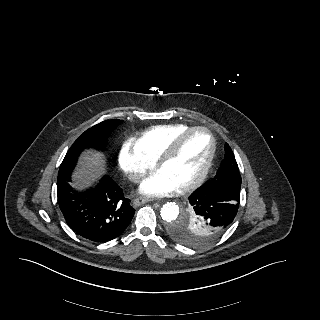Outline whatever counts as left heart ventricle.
<instances>
[{
	"mask_svg": "<svg viewBox=\"0 0 320 320\" xmlns=\"http://www.w3.org/2000/svg\"><path fill=\"white\" fill-rule=\"evenodd\" d=\"M209 150L210 141L207 134L194 133L182 142L177 154L159 171L180 187L200 173L207 160Z\"/></svg>",
	"mask_w": 320,
	"mask_h": 320,
	"instance_id": "1",
	"label": "left heart ventricle"
}]
</instances>
